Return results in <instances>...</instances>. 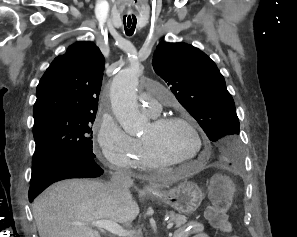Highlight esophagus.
I'll return each mask as SVG.
<instances>
[{
    "instance_id": "obj_1",
    "label": "esophagus",
    "mask_w": 297,
    "mask_h": 237,
    "mask_svg": "<svg viewBox=\"0 0 297 237\" xmlns=\"http://www.w3.org/2000/svg\"><path fill=\"white\" fill-rule=\"evenodd\" d=\"M144 189L145 190H151V189H153V186L152 185H145Z\"/></svg>"
}]
</instances>
